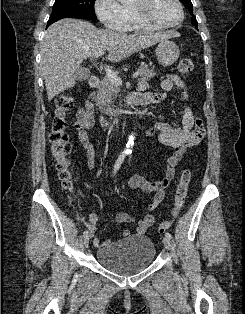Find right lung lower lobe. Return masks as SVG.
Segmentation results:
<instances>
[{
  "instance_id": "98d812e1",
  "label": "right lung lower lobe",
  "mask_w": 245,
  "mask_h": 314,
  "mask_svg": "<svg viewBox=\"0 0 245 314\" xmlns=\"http://www.w3.org/2000/svg\"><path fill=\"white\" fill-rule=\"evenodd\" d=\"M72 18L88 19V18H81V17H72ZM59 19H62V18L49 20V21H48V23H47V27H48V26H50L52 23H54V22L58 21Z\"/></svg>"
}]
</instances>
